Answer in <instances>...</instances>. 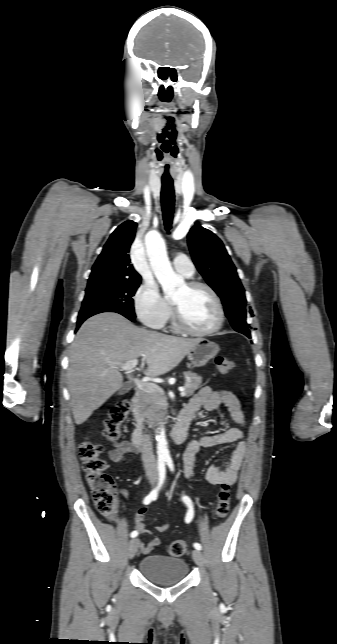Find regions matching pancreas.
<instances>
[{
  "instance_id": "pancreas-1",
  "label": "pancreas",
  "mask_w": 337,
  "mask_h": 644,
  "mask_svg": "<svg viewBox=\"0 0 337 644\" xmlns=\"http://www.w3.org/2000/svg\"><path fill=\"white\" fill-rule=\"evenodd\" d=\"M186 396L193 395L202 382V378L193 372L185 373ZM140 404L142 407L141 421L147 422L150 427H153L157 422L161 421L166 414L167 404L164 393L160 391L148 393L142 392L140 397Z\"/></svg>"
}]
</instances>
